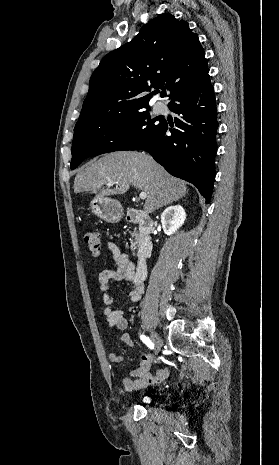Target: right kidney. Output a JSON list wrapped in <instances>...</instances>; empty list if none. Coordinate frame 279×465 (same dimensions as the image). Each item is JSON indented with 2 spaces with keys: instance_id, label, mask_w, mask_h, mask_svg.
<instances>
[{
  "instance_id": "1",
  "label": "right kidney",
  "mask_w": 279,
  "mask_h": 465,
  "mask_svg": "<svg viewBox=\"0 0 279 465\" xmlns=\"http://www.w3.org/2000/svg\"><path fill=\"white\" fill-rule=\"evenodd\" d=\"M186 219V213L181 205L170 206L161 214V223L166 235L174 234Z\"/></svg>"
}]
</instances>
